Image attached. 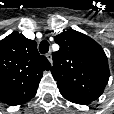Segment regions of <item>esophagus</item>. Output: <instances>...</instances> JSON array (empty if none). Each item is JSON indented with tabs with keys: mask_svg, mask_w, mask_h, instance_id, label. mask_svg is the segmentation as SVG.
<instances>
[{
	"mask_svg": "<svg viewBox=\"0 0 114 114\" xmlns=\"http://www.w3.org/2000/svg\"><path fill=\"white\" fill-rule=\"evenodd\" d=\"M46 57L49 60V62L52 64V54H51V52L47 53Z\"/></svg>",
	"mask_w": 114,
	"mask_h": 114,
	"instance_id": "esophagus-1",
	"label": "esophagus"
}]
</instances>
